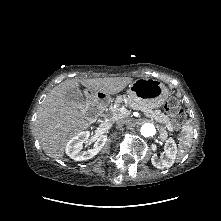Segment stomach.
I'll return each instance as SVG.
<instances>
[{
  "label": "stomach",
  "mask_w": 221,
  "mask_h": 221,
  "mask_svg": "<svg viewBox=\"0 0 221 221\" xmlns=\"http://www.w3.org/2000/svg\"><path fill=\"white\" fill-rule=\"evenodd\" d=\"M130 100L149 108L163 106L168 98L167 87L156 79L140 78L132 82L127 89Z\"/></svg>",
  "instance_id": "1"
}]
</instances>
